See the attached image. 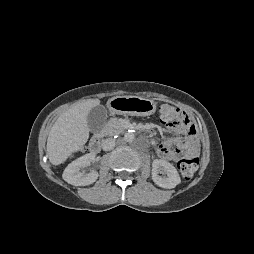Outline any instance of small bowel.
I'll list each match as a JSON object with an SVG mask.
<instances>
[{
    "label": "small bowel",
    "instance_id": "c3829d8e",
    "mask_svg": "<svg viewBox=\"0 0 254 254\" xmlns=\"http://www.w3.org/2000/svg\"><path fill=\"white\" fill-rule=\"evenodd\" d=\"M175 131L184 136H175L164 140L158 148L160 158L168 161H177L183 153L195 155L198 144L195 137L188 132L187 127H177ZM172 146L176 148L171 149Z\"/></svg>",
    "mask_w": 254,
    "mask_h": 254
}]
</instances>
